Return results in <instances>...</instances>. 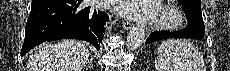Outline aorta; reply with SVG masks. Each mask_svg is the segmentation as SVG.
Wrapping results in <instances>:
<instances>
[{"mask_svg": "<svg viewBox=\"0 0 230 71\" xmlns=\"http://www.w3.org/2000/svg\"><path fill=\"white\" fill-rule=\"evenodd\" d=\"M145 40V31L141 27H133L127 36L126 46L129 50L138 49Z\"/></svg>", "mask_w": 230, "mask_h": 71, "instance_id": "1", "label": "aorta"}]
</instances>
